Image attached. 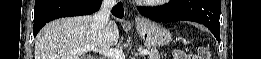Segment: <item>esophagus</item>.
<instances>
[{
  "label": "esophagus",
  "instance_id": "obj_1",
  "mask_svg": "<svg viewBox=\"0 0 261 59\" xmlns=\"http://www.w3.org/2000/svg\"><path fill=\"white\" fill-rule=\"evenodd\" d=\"M135 20H136V21H140L141 18H140L139 16H136Z\"/></svg>",
  "mask_w": 261,
  "mask_h": 59
}]
</instances>
